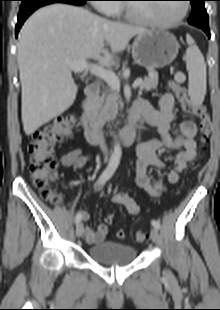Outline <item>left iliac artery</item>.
Instances as JSON below:
<instances>
[{
  "label": "left iliac artery",
  "instance_id": "44dca946",
  "mask_svg": "<svg viewBox=\"0 0 220 310\" xmlns=\"http://www.w3.org/2000/svg\"><path fill=\"white\" fill-rule=\"evenodd\" d=\"M151 224H152V226L155 227L156 229H159V228H160V223H159V221H157V220H152V221H151Z\"/></svg>",
  "mask_w": 220,
  "mask_h": 310
}]
</instances>
